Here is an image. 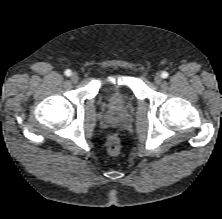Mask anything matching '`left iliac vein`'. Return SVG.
<instances>
[{
    "label": "left iliac vein",
    "mask_w": 222,
    "mask_h": 219,
    "mask_svg": "<svg viewBox=\"0 0 222 219\" xmlns=\"http://www.w3.org/2000/svg\"><path fill=\"white\" fill-rule=\"evenodd\" d=\"M162 81H163L162 76L159 73H157L154 77V82L159 85L162 83Z\"/></svg>",
    "instance_id": "1"
}]
</instances>
